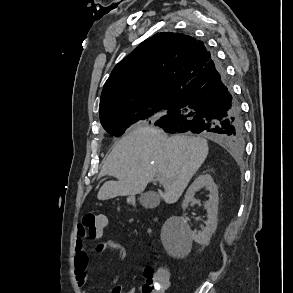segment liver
<instances>
[{
    "instance_id": "liver-1",
    "label": "liver",
    "mask_w": 293,
    "mask_h": 293,
    "mask_svg": "<svg viewBox=\"0 0 293 293\" xmlns=\"http://www.w3.org/2000/svg\"><path fill=\"white\" fill-rule=\"evenodd\" d=\"M208 143L194 136L166 134L153 126H138L123 136L114 146L100 172L117 181H107L97 198L108 200L116 196H134L143 192L156 175L164 178L162 199L178 201L193 175L208 155Z\"/></svg>"
}]
</instances>
